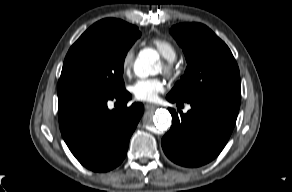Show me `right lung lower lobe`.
Here are the masks:
<instances>
[{"instance_id": "98d812e1", "label": "right lung lower lobe", "mask_w": 292, "mask_h": 192, "mask_svg": "<svg viewBox=\"0 0 292 192\" xmlns=\"http://www.w3.org/2000/svg\"><path fill=\"white\" fill-rule=\"evenodd\" d=\"M57 91L61 134L77 160L95 172H106L120 165L143 115V105L133 103L130 107L109 110V100L128 102L131 95L126 90L117 95L81 87H63Z\"/></svg>"}]
</instances>
